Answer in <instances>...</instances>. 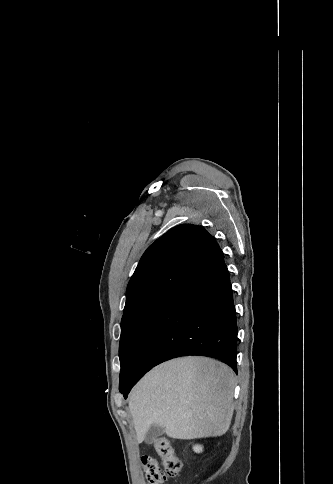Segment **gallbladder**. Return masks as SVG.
<instances>
[{"mask_svg": "<svg viewBox=\"0 0 333 484\" xmlns=\"http://www.w3.org/2000/svg\"><path fill=\"white\" fill-rule=\"evenodd\" d=\"M164 433V428L158 425H152L145 434L146 443H152L157 437Z\"/></svg>", "mask_w": 333, "mask_h": 484, "instance_id": "gallbladder-1", "label": "gallbladder"}]
</instances>
